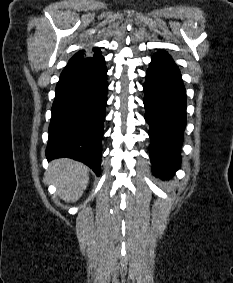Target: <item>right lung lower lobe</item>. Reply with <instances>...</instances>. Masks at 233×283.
<instances>
[{"label":"right lung lower lobe","instance_id":"98d812e1","mask_svg":"<svg viewBox=\"0 0 233 283\" xmlns=\"http://www.w3.org/2000/svg\"><path fill=\"white\" fill-rule=\"evenodd\" d=\"M107 90L103 56L69 61L56 86L46 148L48 160L72 158L100 175Z\"/></svg>","mask_w":233,"mask_h":283}]
</instances>
